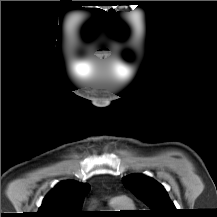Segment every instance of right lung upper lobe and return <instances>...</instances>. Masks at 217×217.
<instances>
[{"mask_svg":"<svg viewBox=\"0 0 217 217\" xmlns=\"http://www.w3.org/2000/svg\"><path fill=\"white\" fill-rule=\"evenodd\" d=\"M90 185L67 180L58 183L43 199L35 217H85L81 210Z\"/></svg>","mask_w":217,"mask_h":217,"instance_id":"obj_1","label":"right lung upper lobe"}]
</instances>
